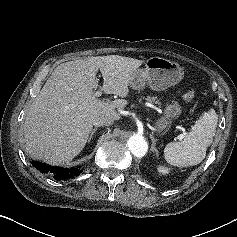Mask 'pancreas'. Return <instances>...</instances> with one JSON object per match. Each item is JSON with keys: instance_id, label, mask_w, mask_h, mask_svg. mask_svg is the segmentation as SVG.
I'll return each instance as SVG.
<instances>
[{"instance_id": "1", "label": "pancreas", "mask_w": 237, "mask_h": 237, "mask_svg": "<svg viewBox=\"0 0 237 237\" xmlns=\"http://www.w3.org/2000/svg\"><path fill=\"white\" fill-rule=\"evenodd\" d=\"M144 99V97H142ZM147 101L151 103H155L157 106L161 107V102L156 96H147L145 98Z\"/></svg>"}]
</instances>
